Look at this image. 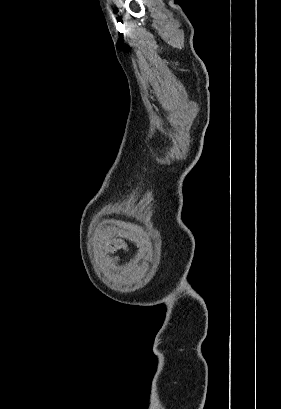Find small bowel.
Here are the masks:
<instances>
[{
  "label": "small bowel",
  "instance_id": "c3829d8e",
  "mask_svg": "<svg viewBox=\"0 0 281 409\" xmlns=\"http://www.w3.org/2000/svg\"><path fill=\"white\" fill-rule=\"evenodd\" d=\"M107 248L110 251H115L117 249H126L127 250L129 247L127 245H125V243L122 240L117 239V240H113V241L109 242L107 244ZM132 255L135 257L137 254L134 252ZM112 261L116 262L117 258L116 257L112 258Z\"/></svg>",
  "mask_w": 281,
  "mask_h": 409
}]
</instances>
